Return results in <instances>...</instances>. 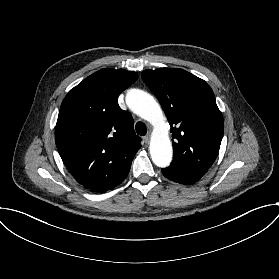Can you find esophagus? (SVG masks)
Wrapping results in <instances>:
<instances>
[{
	"label": "esophagus",
	"mask_w": 279,
	"mask_h": 279,
	"mask_svg": "<svg viewBox=\"0 0 279 279\" xmlns=\"http://www.w3.org/2000/svg\"><path fill=\"white\" fill-rule=\"evenodd\" d=\"M149 139H150V135H149V134L146 135V136H144V137H143V143H144V144H148Z\"/></svg>",
	"instance_id": "34e87169"
}]
</instances>
